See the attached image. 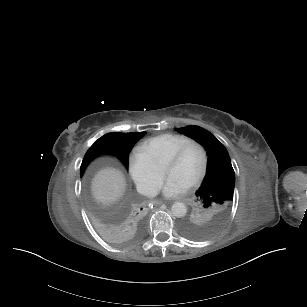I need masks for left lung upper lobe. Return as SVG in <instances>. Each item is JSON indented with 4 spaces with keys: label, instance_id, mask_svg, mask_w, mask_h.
<instances>
[{
    "label": "left lung upper lobe",
    "instance_id": "5c2ea615",
    "mask_svg": "<svg viewBox=\"0 0 307 307\" xmlns=\"http://www.w3.org/2000/svg\"><path fill=\"white\" fill-rule=\"evenodd\" d=\"M199 142L208 155L205 178L195 193L192 215L184 219L182 233L192 239H206L224 225L233 201L235 173L225 146L209 131L199 126L177 129Z\"/></svg>",
    "mask_w": 307,
    "mask_h": 307
}]
</instances>
